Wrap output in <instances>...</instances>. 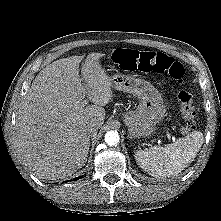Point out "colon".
I'll list each match as a JSON object with an SVG mask.
<instances>
[{
	"mask_svg": "<svg viewBox=\"0 0 221 221\" xmlns=\"http://www.w3.org/2000/svg\"><path fill=\"white\" fill-rule=\"evenodd\" d=\"M111 58L120 68L127 71L167 74L177 81H182L184 76L183 66L164 53L120 48L111 53ZM178 102L185 121L183 130L193 131L197 125V115L191 94L185 90L180 91Z\"/></svg>",
	"mask_w": 221,
	"mask_h": 221,
	"instance_id": "5ec220e1",
	"label": "colon"
}]
</instances>
